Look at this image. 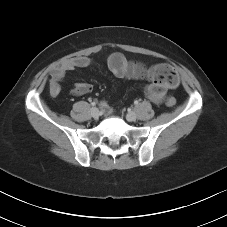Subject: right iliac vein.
Listing matches in <instances>:
<instances>
[{"label":"right iliac vein","mask_w":227,"mask_h":227,"mask_svg":"<svg viewBox=\"0 0 227 227\" xmlns=\"http://www.w3.org/2000/svg\"><path fill=\"white\" fill-rule=\"evenodd\" d=\"M91 116L94 118V119H98L99 117V110L97 108H92L91 109Z\"/></svg>","instance_id":"right-iliac-vein-1"}]
</instances>
